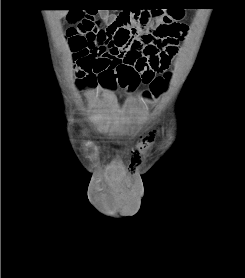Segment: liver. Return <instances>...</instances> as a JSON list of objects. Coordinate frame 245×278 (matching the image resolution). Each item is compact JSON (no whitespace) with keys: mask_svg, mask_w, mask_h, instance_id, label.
Here are the masks:
<instances>
[{"mask_svg":"<svg viewBox=\"0 0 245 278\" xmlns=\"http://www.w3.org/2000/svg\"><path fill=\"white\" fill-rule=\"evenodd\" d=\"M57 12L58 17L61 18L67 14L68 10H57Z\"/></svg>","mask_w":245,"mask_h":278,"instance_id":"obj_1","label":"liver"}]
</instances>
